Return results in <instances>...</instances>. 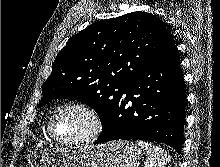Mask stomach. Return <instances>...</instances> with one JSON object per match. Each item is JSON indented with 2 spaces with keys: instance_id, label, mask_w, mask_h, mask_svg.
<instances>
[{
  "instance_id": "1",
  "label": "stomach",
  "mask_w": 220,
  "mask_h": 167,
  "mask_svg": "<svg viewBox=\"0 0 220 167\" xmlns=\"http://www.w3.org/2000/svg\"><path fill=\"white\" fill-rule=\"evenodd\" d=\"M28 151L30 167H138L141 154L130 141L81 148L34 145Z\"/></svg>"
}]
</instances>
